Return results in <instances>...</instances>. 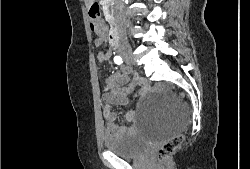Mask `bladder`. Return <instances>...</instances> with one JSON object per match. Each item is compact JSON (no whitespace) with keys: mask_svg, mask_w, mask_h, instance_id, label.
Here are the masks:
<instances>
[{"mask_svg":"<svg viewBox=\"0 0 250 169\" xmlns=\"http://www.w3.org/2000/svg\"><path fill=\"white\" fill-rule=\"evenodd\" d=\"M102 142L106 151H112L118 157L127 158H137L152 147L148 145L142 133H108L102 136Z\"/></svg>","mask_w":250,"mask_h":169,"instance_id":"1","label":"bladder"}]
</instances>
